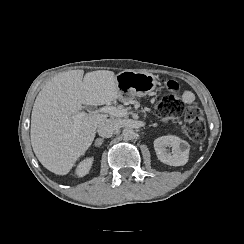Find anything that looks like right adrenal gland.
<instances>
[{"label":"right adrenal gland","mask_w":244,"mask_h":244,"mask_svg":"<svg viewBox=\"0 0 244 244\" xmlns=\"http://www.w3.org/2000/svg\"><path fill=\"white\" fill-rule=\"evenodd\" d=\"M97 140H100L101 141V143L104 141V138H99V139H97Z\"/></svg>","instance_id":"right-adrenal-gland-1"}]
</instances>
